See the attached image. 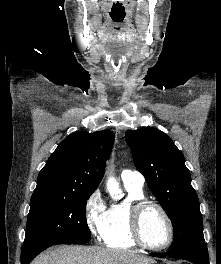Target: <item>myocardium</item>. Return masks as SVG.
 <instances>
[{"instance_id": "myocardium-1", "label": "myocardium", "mask_w": 221, "mask_h": 264, "mask_svg": "<svg viewBox=\"0 0 221 264\" xmlns=\"http://www.w3.org/2000/svg\"><path fill=\"white\" fill-rule=\"evenodd\" d=\"M149 207H154L158 209L163 215L168 225V230H169L168 239L163 245L160 246H153L148 244L142 236V232H141L142 215L144 211ZM128 224H129L130 235L133 241L137 245L145 249L152 251H161L168 248L174 240L175 231H174V225L172 219L168 214V212L166 211V209L161 204L155 201L144 198L133 202L128 210Z\"/></svg>"}]
</instances>
